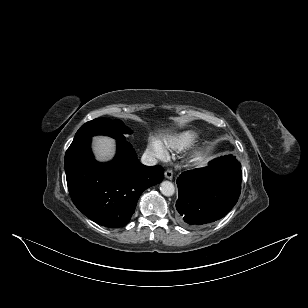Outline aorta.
I'll return each instance as SVG.
<instances>
[{"label": "aorta", "mask_w": 308, "mask_h": 308, "mask_svg": "<svg viewBox=\"0 0 308 308\" xmlns=\"http://www.w3.org/2000/svg\"><path fill=\"white\" fill-rule=\"evenodd\" d=\"M160 191L164 196H172L175 192V187L170 181H163L160 185Z\"/></svg>", "instance_id": "obj_1"}]
</instances>
